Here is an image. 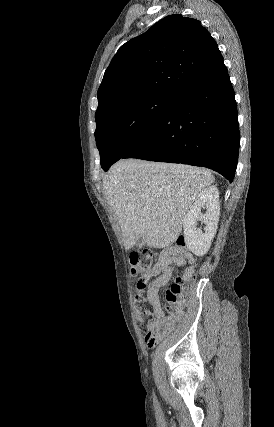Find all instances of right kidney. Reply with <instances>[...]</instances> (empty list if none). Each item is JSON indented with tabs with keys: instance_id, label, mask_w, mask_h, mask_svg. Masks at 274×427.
I'll use <instances>...</instances> for the list:
<instances>
[{
	"instance_id": "obj_1",
	"label": "right kidney",
	"mask_w": 274,
	"mask_h": 427,
	"mask_svg": "<svg viewBox=\"0 0 274 427\" xmlns=\"http://www.w3.org/2000/svg\"><path fill=\"white\" fill-rule=\"evenodd\" d=\"M204 206H206L207 214H201V208ZM219 214V192L216 186H208L198 194L193 206L183 219L185 245L195 255L207 253L217 231ZM198 219L205 223L204 233L200 227H197Z\"/></svg>"
}]
</instances>
